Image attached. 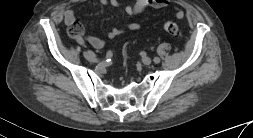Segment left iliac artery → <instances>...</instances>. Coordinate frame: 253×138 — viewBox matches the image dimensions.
Masks as SVG:
<instances>
[{
    "mask_svg": "<svg viewBox=\"0 0 253 138\" xmlns=\"http://www.w3.org/2000/svg\"><path fill=\"white\" fill-rule=\"evenodd\" d=\"M154 62L156 63V64H158L159 62H160V58L159 57H154Z\"/></svg>",
    "mask_w": 253,
    "mask_h": 138,
    "instance_id": "1",
    "label": "left iliac artery"
}]
</instances>
